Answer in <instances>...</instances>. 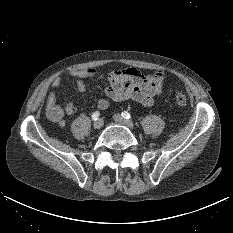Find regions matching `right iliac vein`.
<instances>
[{
    "mask_svg": "<svg viewBox=\"0 0 233 233\" xmlns=\"http://www.w3.org/2000/svg\"><path fill=\"white\" fill-rule=\"evenodd\" d=\"M102 126H103V120H102V119H98V120L95 121L94 124H93V128H94L95 130L101 129Z\"/></svg>",
    "mask_w": 233,
    "mask_h": 233,
    "instance_id": "obj_1",
    "label": "right iliac vein"
}]
</instances>
